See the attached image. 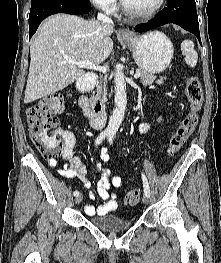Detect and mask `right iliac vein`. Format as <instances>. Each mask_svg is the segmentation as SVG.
Masks as SVG:
<instances>
[{
  "label": "right iliac vein",
  "instance_id": "obj_1",
  "mask_svg": "<svg viewBox=\"0 0 221 263\" xmlns=\"http://www.w3.org/2000/svg\"><path fill=\"white\" fill-rule=\"evenodd\" d=\"M82 200H83V196H82V195H78V196L75 198V203H76V204H79V203L82 202Z\"/></svg>",
  "mask_w": 221,
  "mask_h": 263
}]
</instances>
